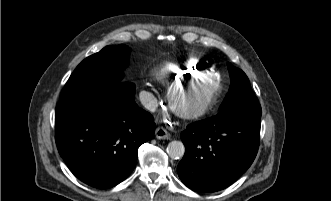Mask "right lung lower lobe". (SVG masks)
I'll use <instances>...</instances> for the list:
<instances>
[{"label": "right lung lower lobe", "instance_id": "right-lung-lower-lobe-1", "mask_svg": "<svg viewBox=\"0 0 331 201\" xmlns=\"http://www.w3.org/2000/svg\"><path fill=\"white\" fill-rule=\"evenodd\" d=\"M130 82L105 84L59 102L55 140L72 173L99 189L116 186L133 171L137 150L155 123L134 101Z\"/></svg>", "mask_w": 331, "mask_h": 201}]
</instances>
